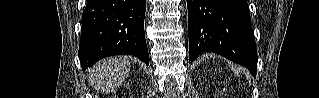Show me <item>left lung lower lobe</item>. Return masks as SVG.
I'll use <instances>...</instances> for the list:
<instances>
[{"mask_svg":"<svg viewBox=\"0 0 319 98\" xmlns=\"http://www.w3.org/2000/svg\"><path fill=\"white\" fill-rule=\"evenodd\" d=\"M189 59L214 52L256 77L257 50L246 0H187Z\"/></svg>","mask_w":319,"mask_h":98,"instance_id":"0a47b994","label":"left lung lower lobe"}]
</instances>
